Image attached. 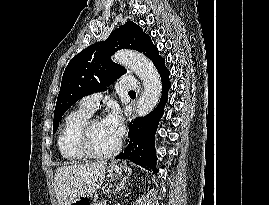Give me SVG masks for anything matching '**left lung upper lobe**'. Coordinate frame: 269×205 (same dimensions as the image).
Wrapping results in <instances>:
<instances>
[{
    "mask_svg": "<svg viewBox=\"0 0 269 205\" xmlns=\"http://www.w3.org/2000/svg\"><path fill=\"white\" fill-rule=\"evenodd\" d=\"M123 48L143 53L154 64L161 58L150 37L132 21L114 30L105 41L81 51L69 62L62 77L54 111V133L62 115L70 106L86 95L106 90V85L125 74L124 67L111 61V55Z\"/></svg>",
    "mask_w": 269,
    "mask_h": 205,
    "instance_id": "left-lung-upper-lobe-1",
    "label": "left lung upper lobe"
}]
</instances>
